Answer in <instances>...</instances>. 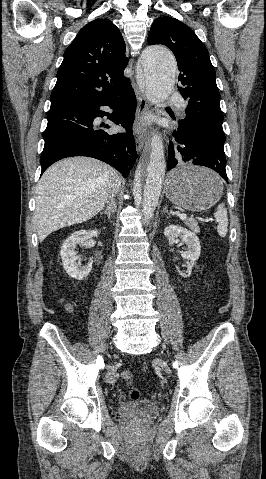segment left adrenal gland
<instances>
[{
    "instance_id": "1",
    "label": "left adrenal gland",
    "mask_w": 266,
    "mask_h": 479,
    "mask_svg": "<svg viewBox=\"0 0 266 479\" xmlns=\"http://www.w3.org/2000/svg\"><path fill=\"white\" fill-rule=\"evenodd\" d=\"M163 213H167L168 216L170 217V214H171V213L168 212L167 206H165V208H164V210H163Z\"/></svg>"
}]
</instances>
